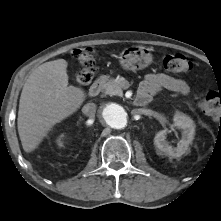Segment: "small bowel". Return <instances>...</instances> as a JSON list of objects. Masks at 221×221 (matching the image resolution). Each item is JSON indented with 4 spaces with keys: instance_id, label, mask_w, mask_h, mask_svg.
<instances>
[{
    "instance_id": "obj_1",
    "label": "small bowel",
    "mask_w": 221,
    "mask_h": 221,
    "mask_svg": "<svg viewBox=\"0 0 221 221\" xmlns=\"http://www.w3.org/2000/svg\"><path fill=\"white\" fill-rule=\"evenodd\" d=\"M162 88L180 94H187L190 90L188 84L182 79L165 73H151L146 75L141 83L140 93L150 96L156 94Z\"/></svg>"
}]
</instances>
